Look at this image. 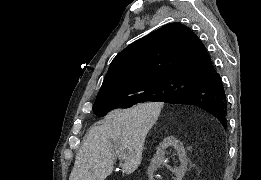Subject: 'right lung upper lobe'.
I'll use <instances>...</instances> for the list:
<instances>
[{
    "mask_svg": "<svg viewBox=\"0 0 261 180\" xmlns=\"http://www.w3.org/2000/svg\"><path fill=\"white\" fill-rule=\"evenodd\" d=\"M214 70L198 37L185 25L170 23L130 44L111 62L97 96L162 80L197 82Z\"/></svg>",
    "mask_w": 261,
    "mask_h": 180,
    "instance_id": "cb5924a9",
    "label": "right lung upper lobe"
}]
</instances>
